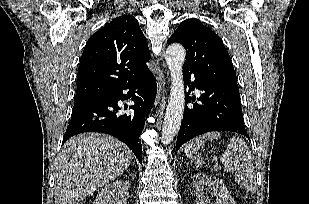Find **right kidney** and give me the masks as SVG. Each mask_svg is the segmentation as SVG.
I'll return each mask as SVG.
<instances>
[{
    "mask_svg": "<svg viewBox=\"0 0 309 204\" xmlns=\"http://www.w3.org/2000/svg\"><path fill=\"white\" fill-rule=\"evenodd\" d=\"M129 183L117 180L101 189L93 204H127Z\"/></svg>",
    "mask_w": 309,
    "mask_h": 204,
    "instance_id": "right-kidney-1",
    "label": "right kidney"
}]
</instances>
